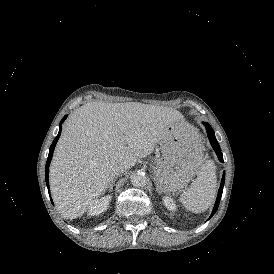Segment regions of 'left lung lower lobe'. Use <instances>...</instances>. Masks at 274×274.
I'll use <instances>...</instances> for the list:
<instances>
[{"label":"left lung lower lobe","instance_id":"1","mask_svg":"<svg viewBox=\"0 0 274 274\" xmlns=\"http://www.w3.org/2000/svg\"><path fill=\"white\" fill-rule=\"evenodd\" d=\"M204 125L206 127L208 138L210 140V143H211L213 149L215 150V152H216L219 160L221 162H223V157H222L221 149H220V146H219V144H218V142H217V140L215 138L214 131L212 130L211 126L208 123H204ZM224 182H225V173L223 174V178L221 180V185H220V188H219V191H218V196H217V199H216V202H215V206H214V209H213V212H212L210 218L214 215V213L218 209L219 202H220V199H221V196H222V192H223Z\"/></svg>","mask_w":274,"mask_h":274}]
</instances>
